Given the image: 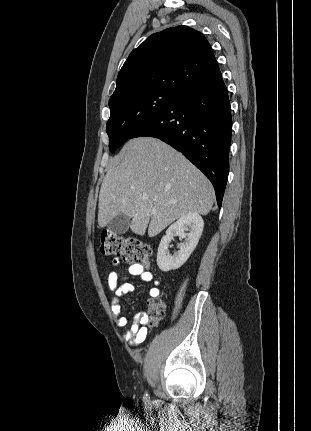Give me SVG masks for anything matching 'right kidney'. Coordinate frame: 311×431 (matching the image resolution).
<instances>
[{"mask_svg": "<svg viewBox=\"0 0 311 431\" xmlns=\"http://www.w3.org/2000/svg\"><path fill=\"white\" fill-rule=\"evenodd\" d=\"M204 221L199 214L196 212H189L185 216L177 219L175 223H172L166 231V235H163L158 251H157V265L162 271H170V269H178L186 259H188L190 253L195 249L199 237L203 231ZM189 231V233H185ZM174 235H180L184 237L183 243H179V251L175 253H169L168 245L173 239Z\"/></svg>", "mask_w": 311, "mask_h": 431, "instance_id": "1", "label": "right kidney"}]
</instances>
